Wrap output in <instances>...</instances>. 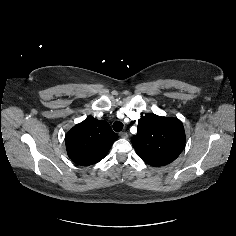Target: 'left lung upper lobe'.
<instances>
[{
	"label": "left lung upper lobe",
	"mask_w": 236,
	"mask_h": 236,
	"mask_svg": "<svg viewBox=\"0 0 236 236\" xmlns=\"http://www.w3.org/2000/svg\"><path fill=\"white\" fill-rule=\"evenodd\" d=\"M131 142L145 163L151 166L167 165L183 150V124L177 118L145 115L139 120L137 134L132 137Z\"/></svg>",
	"instance_id": "obj_1"
}]
</instances>
